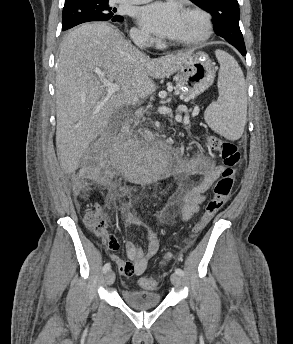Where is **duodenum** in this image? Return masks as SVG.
<instances>
[{"label": "duodenum", "instance_id": "410a0bca", "mask_svg": "<svg viewBox=\"0 0 293 344\" xmlns=\"http://www.w3.org/2000/svg\"><path fill=\"white\" fill-rule=\"evenodd\" d=\"M110 149H111V153H112V161L116 162L117 161V152H116L117 148L112 146V147H110ZM181 164H182V162H178L177 160H174L173 164H172L173 165V169L174 170L181 169Z\"/></svg>", "mask_w": 293, "mask_h": 344}]
</instances>
